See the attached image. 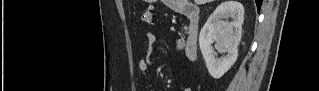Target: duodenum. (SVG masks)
Instances as JSON below:
<instances>
[{"label": "duodenum", "mask_w": 319, "mask_h": 91, "mask_svg": "<svg viewBox=\"0 0 319 91\" xmlns=\"http://www.w3.org/2000/svg\"><path fill=\"white\" fill-rule=\"evenodd\" d=\"M188 18V30L184 40L183 51L186 59L190 62L196 60L198 55V38L200 28V12L199 8L191 4H187L182 12Z\"/></svg>", "instance_id": "1"}]
</instances>
